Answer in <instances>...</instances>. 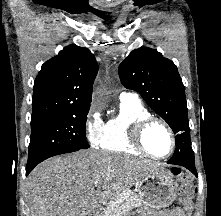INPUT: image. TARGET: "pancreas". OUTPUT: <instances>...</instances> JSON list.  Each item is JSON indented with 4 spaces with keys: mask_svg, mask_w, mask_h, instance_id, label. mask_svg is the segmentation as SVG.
Returning <instances> with one entry per match:
<instances>
[{
    "mask_svg": "<svg viewBox=\"0 0 221 216\" xmlns=\"http://www.w3.org/2000/svg\"><path fill=\"white\" fill-rule=\"evenodd\" d=\"M139 205L138 196L132 191H126L112 199L102 216H123L131 208L138 207Z\"/></svg>",
    "mask_w": 221,
    "mask_h": 216,
    "instance_id": "1",
    "label": "pancreas"
}]
</instances>
